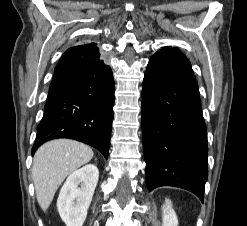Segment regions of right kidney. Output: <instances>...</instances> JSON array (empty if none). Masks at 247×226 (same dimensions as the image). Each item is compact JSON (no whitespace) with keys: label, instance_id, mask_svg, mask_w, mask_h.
Listing matches in <instances>:
<instances>
[{"label":"right kidney","instance_id":"ca27d5eb","mask_svg":"<svg viewBox=\"0 0 247 226\" xmlns=\"http://www.w3.org/2000/svg\"><path fill=\"white\" fill-rule=\"evenodd\" d=\"M99 171L88 164L74 171L62 186L57 208L66 226H82L98 182Z\"/></svg>","mask_w":247,"mask_h":226}]
</instances>
